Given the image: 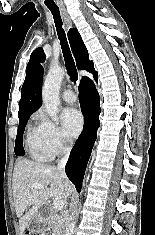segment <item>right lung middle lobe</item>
I'll return each instance as SVG.
<instances>
[{
    "instance_id": "obj_1",
    "label": "right lung middle lobe",
    "mask_w": 155,
    "mask_h": 235,
    "mask_svg": "<svg viewBox=\"0 0 155 235\" xmlns=\"http://www.w3.org/2000/svg\"><path fill=\"white\" fill-rule=\"evenodd\" d=\"M29 117L30 115L19 119V126H18L17 138L15 142V149H14L15 154L17 156H23L25 154L22 139H23L24 129H25V126Z\"/></svg>"
}]
</instances>
